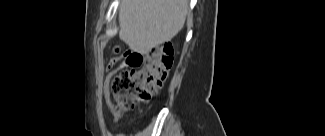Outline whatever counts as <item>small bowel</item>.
Masks as SVG:
<instances>
[{
	"instance_id": "small-bowel-1",
	"label": "small bowel",
	"mask_w": 325,
	"mask_h": 136,
	"mask_svg": "<svg viewBox=\"0 0 325 136\" xmlns=\"http://www.w3.org/2000/svg\"><path fill=\"white\" fill-rule=\"evenodd\" d=\"M144 63L145 58L142 56V53H135L134 48H127L126 53L122 54V64L120 65L124 69L122 73H117L118 61L112 59L108 63L104 97L106 105L114 117H118V113L114 109L110 98L121 97V93L124 92L125 83H128L132 77L133 69L143 68Z\"/></svg>"
}]
</instances>
